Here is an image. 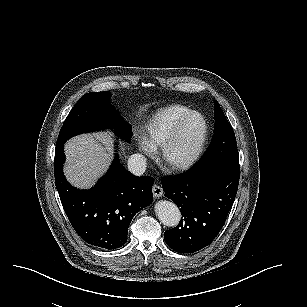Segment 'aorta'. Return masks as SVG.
I'll return each mask as SVG.
<instances>
[{
  "label": "aorta",
  "instance_id": "obj_1",
  "mask_svg": "<svg viewBox=\"0 0 307 307\" xmlns=\"http://www.w3.org/2000/svg\"><path fill=\"white\" fill-rule=\"evenodd\" d=\"M158 219L167 227H176L181 220V212L177 205L167 200H160L154 206Z\"/></svg>",
  "mask_w": 307,
  "mask_h": 307
}]
</instances>
